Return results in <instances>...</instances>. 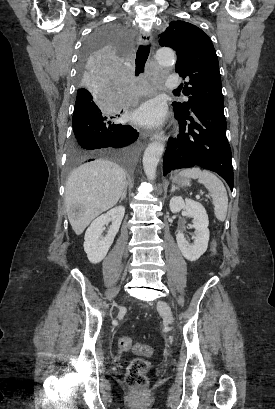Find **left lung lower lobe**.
Segmentation results:
<instances>
[{"instance_id":"obj_1","label":"left lung lower lobe","mask_w":275,"mask_h":409,"mask_svg":"<svg viewBox=\"0 0 275 409\" xmlns=\"http://www.w3.org/2000/svg\"><path fill=\"white\" fill-rule=\"evenodd\" d=\"M180 133L169 138L163 160V174L171 170L202 167L218 173L233 190L231 149L226 137L224 112L197 108L189 115L175 113Z\"/></svg>"}]
</instances>
